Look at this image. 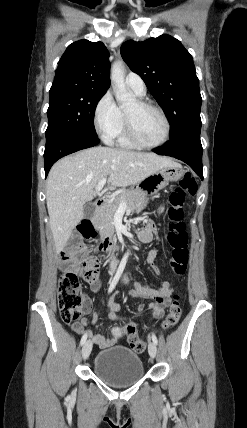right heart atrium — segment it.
Wrapping results in <instances>:
<instances>
[{
  "label": "right heart atrium",
  "instance_id": "right-heart-atrium-1",
  "mask_svg": "<svg viewBox=\"0 0 247 428\" xmlns=\"http://www.w3.org/2000/svg\"><path fill=\"white\" fill-rule=\"evenodd\" d=\"M97 133L106 142L115 140L122 126L121 110L110 92H106L97 102L93 113Z\"/></svg>",
  "mask_w": 247,
  "mask_h": 428
}]
</instances>
